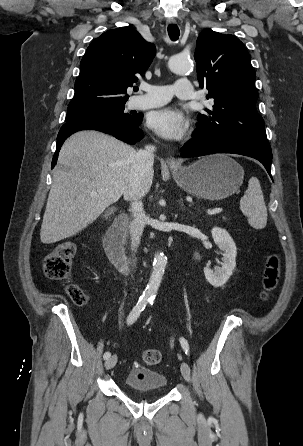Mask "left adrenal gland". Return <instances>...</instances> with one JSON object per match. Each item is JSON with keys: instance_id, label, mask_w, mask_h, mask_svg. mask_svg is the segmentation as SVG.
I'll return each mask as SVG.
<instances>
[{"instance_id": "obj_1", "label": "left adrenal gland", "mask_w": 303, "mask_h": 446, "mask_svg": "<svg viewBox=\"0 0 303 446\" xmlns=\"http://www.w3.org/2000/svg\"><path fill=\"white\" fill-rule=\"evenodd\" d=\"M181 206L183 207L184 205H183V202H181Z\"/></svg>"}]
</instances>
